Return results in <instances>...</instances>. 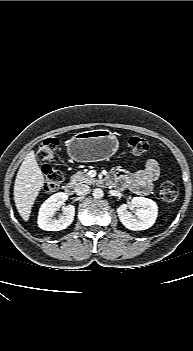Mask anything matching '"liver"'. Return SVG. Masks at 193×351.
Instances as JSON below:
<instances>
[{
	"label": "liver",
	"instance_id": "obj_1",
	"mask_svg": "<svg viewBox=\"0 0 193 351\" xmlns=\"http://www.w3.org/2000/svg\"><path fill=\"white\" fill-rule=\"evenodd\" d=\"M43 185L44 176L32 150L25 156L14 183V202L24 221L29 220L32 205Z\"/></svg>",
	"mask_w": 193,
	"mask_h": 351
}]
</instances>
